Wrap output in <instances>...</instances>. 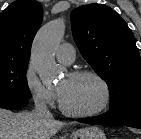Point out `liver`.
Wrapping results in <instances>:
<instances>
[{
    "label": "liver",
    "mask_w": 141,
    "mask_h": 139,
    "mask_svg": "<svg viewBox=\"0 0 141 139\" xmlns=\"http://www.w3.org/2000/svg\"><path fill=\"white\" fill-rule=\"evenodd\" d=\"M64 122L42 120L35 112L13 113L0 108V139H52Z\"/></svg>",
    "instance_id": "1"
}]
</instances>
